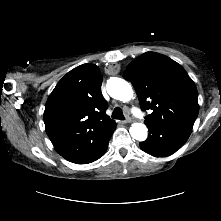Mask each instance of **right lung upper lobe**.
<instances>
[{"label":"right lung upper lobe","mask_w":221,"mask_h":221,"mask_svg":"<svg viewBox=\"0 0 221 221\" xmlns=\"http://www.w3.org/2000/svg\"><path fill=\"white\" fill-rule=\"evenodd\" d=\"M102 75L94 64L68 72L50 94L44 111L46 132L56 151L75 161L116 126L106 114Z\"/></svg>","instance_id":"obj_1"}]
</instances>
